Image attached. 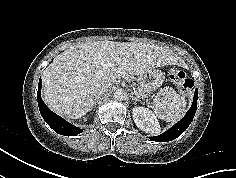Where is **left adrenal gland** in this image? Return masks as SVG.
<instances>
[{"label":"left adrenal gland","instance_id":"1","mask_svg":"<svg viewBox=\"0 0 236 178\" xmlns=\"http://www.w3.org/2000/svg\"><path fill=\"white\" fill-rule=\"evenodd\" d=\"M131 98H132L134 103H136L137 101L142 102L140 99H138L136 96H134L133 93L131 94Z\"/></svg>","mask_w":236,"mask_h":178}]
</instances>
